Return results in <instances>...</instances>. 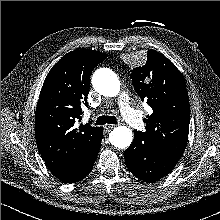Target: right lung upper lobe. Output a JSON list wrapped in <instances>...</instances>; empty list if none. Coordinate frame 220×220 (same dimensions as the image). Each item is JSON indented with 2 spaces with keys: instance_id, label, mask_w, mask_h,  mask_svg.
<instances>
[{
  "instance_id": "obj_1",
  "label": "right lung upper lobe",
  "mask_w": 220,
  "mask_h": 220,
  "mask_svg": "<svg viewBox=\"0 0 220 220\" xmlns=\"http://www.w3.org/2000/svg\"><path fill=\"white\" fill-rule=\"evenodd\" d=\"M108 55L94 50L67 53L48 73L35 113V138L48 168L60 180L77 174L89 159L101 127H74L87 106L90 75Z\"/></svg>"
}]
</instances>
